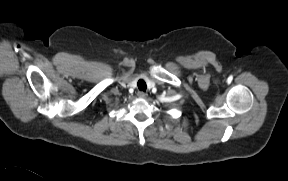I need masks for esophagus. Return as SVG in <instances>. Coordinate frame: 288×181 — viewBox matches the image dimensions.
<instances>
[{
    "label": "esophagus",
    "mask_w": 288,
    "mask_h": 181,
    "mask_svg": "<svg viewBox=\"0 0 288 181\" xmlns=\"http://www.w3.org/2000/svg\"><path fill=\"white\" fill-rule=\"evenodd\" d=\"M137 96L139 98H146L147 94L145 92H143V91H138Z\"/></svg>",
    "instance_id": "34e87169"
}]
</instances>
